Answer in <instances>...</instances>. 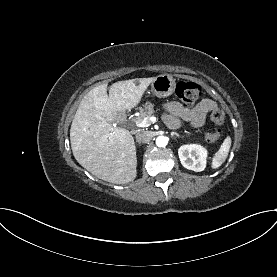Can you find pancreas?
Wrapping results in <instances>:
<instances>
[{"mask_svg": "<svg viewBox=\"0 0 277 277\" xmlns=\"http://www.w3.org/2000/svg\"><path fill=\"white\" fill-rule=\"evenodd\" d=\"M140 116L136 120H142L146 117H150L154 113V105L150 102H146L144 108H139Z\"/></svg>", "mask_w": 277, "mask_h": 277, "instance_id": "1", "label": "pancreas"}]
</instances>
